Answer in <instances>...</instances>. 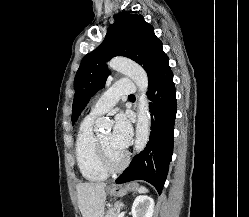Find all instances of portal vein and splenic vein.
<instances>
[{
	"mask_svg": "<svg viewBox=\"0 0 249 217\" xmlns=\"http://www.w3.org/2000/svg\"><path fill=\"white\" fill-rule=\"evenodd\" d=\"M124 216V212H121L118 214V217H123Z\"/></svg>",
	"mask_w": 249,
	"mask_h": 217,
	"instance_id": "portal-vein-and-splenic-vein-1",
	"label": "portal vein and splenic vein"
}]
</instances>
